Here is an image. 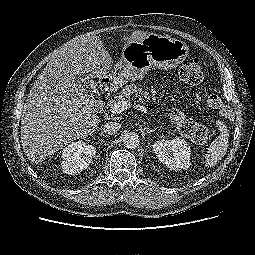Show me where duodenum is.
Wrapping results in <instances>:
<instances>
[{"instance_id": "duodenum-1", "label": "duodenum", "mask_w": 255, "mask_h": 255, "mask_svg": "<svg viewBox=\"0 0 255 255\" xmlns=\"http://www.w3.org/2000/svg\"><path fill=\"white\" fill-rule=\"evenodd\" d=\"M100 88L103 92L108 91L109 88H110L109 82L108 81H102L101 84H100Z\"/></svg>"}]
</instances>
